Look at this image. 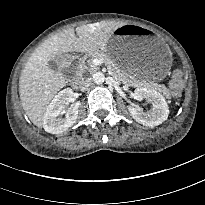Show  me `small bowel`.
<instances>
[{
    "instance_id": "1",
    "label": "small bowel",
    "mask_w": 205,
    "mask_h": 205,
    "mask_svg": "<svg viewBox=\"0 0 205 205\" xmlns=\"http://www.w3.org/2000/svg\"><path fill=\"white\" fill-rule=\"evenodd\" d=\"M169 86L173 92H175V93L178 92L180 90V87H181L180 78L177 75L173 76V78L171 79V81L169 83Z\"/></svg>"
}]
</instances>
